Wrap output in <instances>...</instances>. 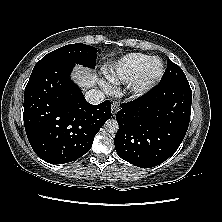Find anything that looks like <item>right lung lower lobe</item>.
Returning a JSON list of instances; mask_svg holds the SVG:
<instances>
[{
    "label": "right lung lower lobe",
    "instance_id": "obj_1",
    "mask_svg": "<svg viewBox=\"0 0 222 222\" xmlns=\"http://www.w3.org/2000/svg\"><path fill=\"white\" fill-rule=\"evenodd\" d=\"M73 64H54L33 71L24 94V126L34 152L51 164L86 154L95 135L111 118L109 100L88 103L70 80Z\"/></svg>",
    "mask_w": 222,
    "mask_h": 222
}]
</instances>
